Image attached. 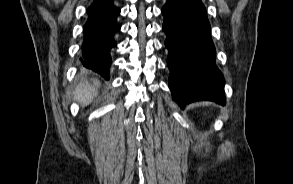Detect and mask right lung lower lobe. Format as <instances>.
Segmentation results:
<instances>
[{"label": "right lung lower lobe", "instance_id": "right-lung-lower-lobe-1", "mask_svg": "<svg viewBox=\"0 0 293 184\" xmlns=\"http://www.w3.org/2000/svg\"><path fill=\"white\" fill-rule=\"evenodd\" d=\"M88 19L84 25L82 44L83 65L109 79L110 49L116 46L114 35L121 26L116 19L120 9L113 0L94 1L87 9Z\"/></svg>", "mask_w": 293, "mask_h": 184}]
</instances>
